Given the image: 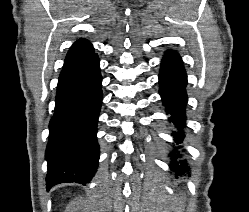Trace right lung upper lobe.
<instances>
[{"label": "right lung upper lobe", "instance_id": "cb5924a9", "mask_svg": "<svg viewBox=\"0 0 249 212\" xmlns=\"http://www.w3.org/2000/svg\"><path fill=\"white\" fill-rule=\"evenodd\" d=\"M91 43L86 39H80L70 48L64 62V68L81 63L94 55Z\"/></svg>", "mask_w": 249, "mask_h": 212}]
</instances>
